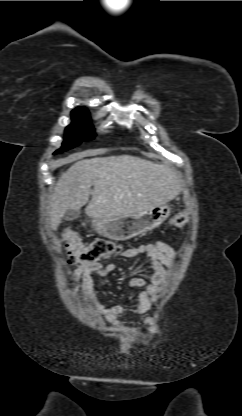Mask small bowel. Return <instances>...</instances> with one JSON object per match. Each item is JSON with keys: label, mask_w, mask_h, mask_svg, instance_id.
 Returning a JSON list of instances; mask_svg holds the SVG:
<instances>
[{"label": "small bowel", "mask_w": 242, "mask_h": 416, "mask_svg": "<svg viewBox=\"0 0 242 416\" xmlns=\"http://www.w3.org/2000/svg\"><path fill=\"white\" fill-rule=\"evenodd\" d=\"M137 254H145L148 257V266L152 272L149 282L141 277H132L128 282L130 287L142 289L134 308L136 314L142 315L148 312L157 301L160 291L167 283L168 271L174 267L180 252L167 243L158 241L153 244L141 245L138 248L122 250L118 256L128 258ZM115 270L116 264L114 262L79 265L73 271L68 272L67 276L70 278V286L81 282L84 300L98 309L109 325L119 332V338L122 341H129L134 338L136 331L127 329L120 320L125 312L124 307L116 305L106 308L97 298V292L101 289L102 282L96 277L107 276Z\"/></svg>", "instance_id": "c3829d8e"}]
</instances>
